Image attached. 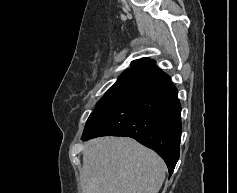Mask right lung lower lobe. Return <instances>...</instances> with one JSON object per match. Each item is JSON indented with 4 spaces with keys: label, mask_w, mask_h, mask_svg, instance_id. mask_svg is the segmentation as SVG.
<instances>
[{
    "label": "right lung lower lobe",
    "mask_w": 237,
    "mask_h": 193,
    "mask_svg": "<svg viewBox=\"0 0 237 193\" xmlns=\"http://www.w3.org/2000/svg\"><path fill=\"white\" fill-rule=\"evenodd\" d=\"M170 77L151 63L123 101L88 118L82 139L127 136L156 151L169 176L179 159L181 106Z\"/></svg>",
    "instance_id": "right-lung-lower-lobe-1"
}]
</instances>
